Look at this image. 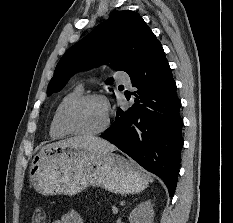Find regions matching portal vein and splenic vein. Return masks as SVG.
<instances>
[{"mask_svg":"<svg viewBox=\"0 0 233 223\" xmlns=\"http://www.w3.org/2000/svg\"><path fill=\"white\" fill-rule=\"evenodd\" d=\"M112 211H113V213H118V207H115V205H113Z\"/></svg>","mask_w":233,"mask_h":223,"instance_id":"1","label":"portal vein and splenic vein"}]
</instances>
